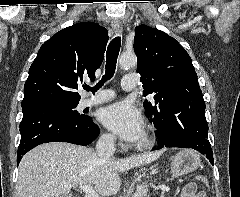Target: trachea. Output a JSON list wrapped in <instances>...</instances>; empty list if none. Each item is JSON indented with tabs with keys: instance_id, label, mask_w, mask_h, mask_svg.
I'll return each instance as SVG.
<instances>
[{
	"instance_id": "trachea-1",
	"label": "trachea",
	"mask_w": 240,
	"mask_h": 197,
	"mask_svg": "<svg viewBox=\"0 0 240 197\" xmlns=\"http://www.w3.org/2000/svg\"><path fill=\"white\" fill-rule=\"evenodd\" d=\"M121 47V38L119 36L115 37L109 44L106 52V66H105V75L102 77V80L99 83L91 88L88 85L83 86L87 91H92L95 93L107 80H110L116 69L117 58L119 55Z\"/></svg>"
}]
</instances>
